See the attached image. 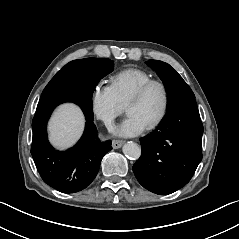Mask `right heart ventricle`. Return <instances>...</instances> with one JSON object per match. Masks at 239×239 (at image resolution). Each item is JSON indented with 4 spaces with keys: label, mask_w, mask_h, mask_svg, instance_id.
Listing matches in <instances>:
<instances>
[{
    "label": "right heart ventricle",
    "mask_w": 239,
    "mask_h": 239,
    "mask_svg": "<svg viewBox=\"0 0 239 239\" xmlns=\"http://www.w3.org/2000/svg\"><path fill=\"white\" fill-rule=\"evenodd\" d=\"M153 79L152 75L140 68H126L110 77V85L123 105L131 95L144 83Z\"/></svg>",
    "instance_id": "e07e8e85"
}]
</instances>
